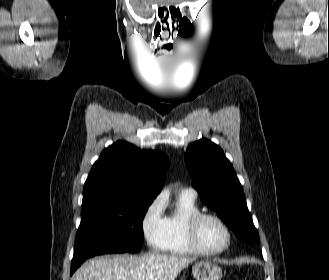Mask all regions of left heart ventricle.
I'll return each instance as SVG.
<instances>
[{"instance_id": "left-heart-ventricle-1", "label": "left heart ventricle", "mask_w": 329, "mask_h": 280, "mask_svg": "<svg viewBox=\"0 0 329 280\" xmlns=\"http://www.w3.org/2000/svg\"><path fill=\"white\" fill-rule=\"evenodd\" d=\"M226 233L223 227L213 219H205L199 229V240L208 250H216L226 243Z\"/></svg>"}]
</instances>
